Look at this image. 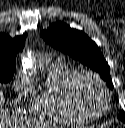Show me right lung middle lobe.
Wrapping results in <instances>:
<instances>
[{
    "label": "right lung middle lobe",
    "instance_id": "dd1d6c3e",
    "mask_svg": "<svg viewBox=\"0 0 125 128\" xmlns=\"http://www.w3.org/2000/svg\"><path fill=\"white\" fill-rule=\"evenodd\" d=\"M15 67L0 66V82L8 83L13 78Z\"/></svg>",
    "mask_w": 125,
    "mask_h": 128
}]
</instances>
